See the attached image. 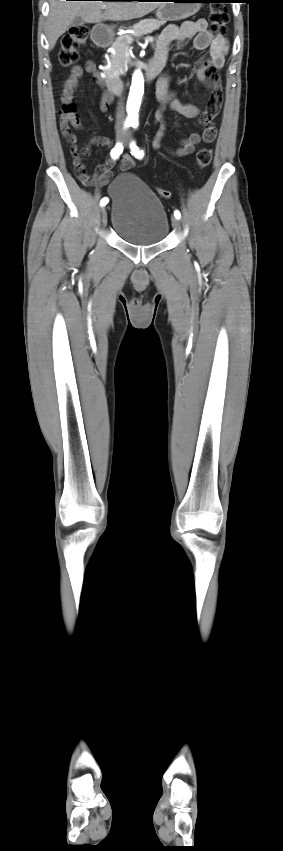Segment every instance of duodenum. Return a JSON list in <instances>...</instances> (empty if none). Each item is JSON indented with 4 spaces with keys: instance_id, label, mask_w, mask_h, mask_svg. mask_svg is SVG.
<instances>
[{
    "instance_id": "1",
    "label": "duodenum",
    "mask_w": 283,
    "mask_h": 851,
    "mask_svg": "<svg viewBox=\"0 0 283 851\" xmlns=\"http://www.w3.org/2000/svg\"><path fill=\"white\" fill-rule=\"evenodd\" d=\"M94 41L100 47H106L109 45L111 38L108 31L105 29H97L94 33ZM164 66L163 61L152 59L147 70V77L149 80L154 79L162 70ZM110 87L107 89L111 92L112 95H119L123 89V82L118 78L109 79Z\"/></svg>"
}]
</instances>
